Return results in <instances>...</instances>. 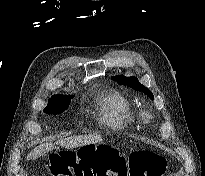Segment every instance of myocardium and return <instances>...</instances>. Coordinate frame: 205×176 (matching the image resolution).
Masks as SVG:
<instances>
[{
	"label": "myocardium",
	"instance_id": "1",
	"mask_svg": "<svg viewBox=\"0 0 205 176\" xmlns=\"http://www.w3.org/2000/svg\"><path fill=\"white\" fill-rule=\"evenodd\" d=\"M144 117L148 118V116H147V115H144Z\"/></svg>",
	"mask_w": 205,
	"mask_h": 176
}]
</instances>
